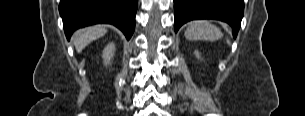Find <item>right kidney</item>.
<instances>
[{"instance_id":"right-kidney-1","label":"right kidney","mask_w":305,"mask_h":116,"mask_svg":"<svg viewBox=\"0 0 305 116\" xmlns=\"http://www.w3.org/2000/svg\"><path fill=\"white\" fill-rule=\"evenodd\" d=\"M114 52H115V44L114 43H109L104 51H103V54H102V57L104 59V64L105 65H108L110 64V61L114 55Z\"/></svg>"}]
</instances>
